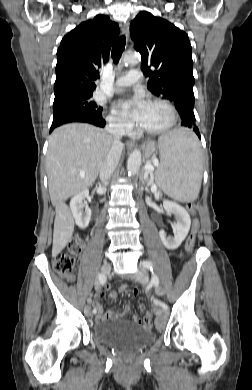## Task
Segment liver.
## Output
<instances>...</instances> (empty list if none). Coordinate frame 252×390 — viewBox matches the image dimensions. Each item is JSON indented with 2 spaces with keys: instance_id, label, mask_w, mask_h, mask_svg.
Returning <instances> with one entry per match:
<instances>
[{
  "instance_id": "liver-1",
  "label": "liver",
  "mask_w": 252,
  "mask_h": 390,
  "mask_svg": "<svg viewBox=\"0 0 252 390\" xmlns=\"http://www.w3.org/2000/svg\"><path fill=\"white\" fill-rule=\"evenodd\" d=\"M112 143L106 131L84 123L63 125L52 132L46 155L49 194L56 210L52 256L65 248L74 232L65 200L94 183Z\"/></svg>"
}]
</instances>
